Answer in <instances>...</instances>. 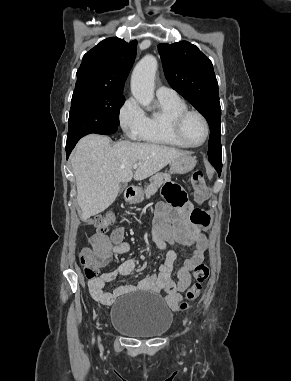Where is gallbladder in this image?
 I'll return each mask as SVG.
<instances>
[{"mask_svg":"<svg viewBox=\"0 0 291 381\" xmlns=\"http://www.w3.org/2000/svg\"><path fill=\"white\" fill-rule=\"evenodd\" d=\"M125 187H126V184H125V183H122V184L120 185V191L122 192V191L124 190Z\"/></svg>","mask_w":291,"mask_h":381,"instance_id":"gallbladder-1","label":"gallbladder"}]
</instances>
